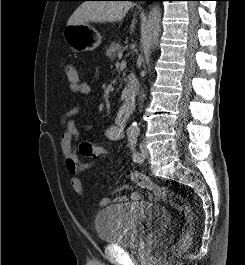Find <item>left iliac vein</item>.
Instances as JSON below:
<instances>
[{
    "label": "left iliac vein",
    "instance_id": "4c4485c4",
    "mask_svg": "<svg viewBox=\"0 0 245 265\" xmlns=\"http://www.w3.org/2000/svg\"><path fill=\"white\" fill-rule=\"evenodd\" d=\"M140 152L142 159H145L149 156V151L143 142L140 144Z\"/></svg>",
    "mask_w": 245,
    "mask_h": 265
}]
</instances>
